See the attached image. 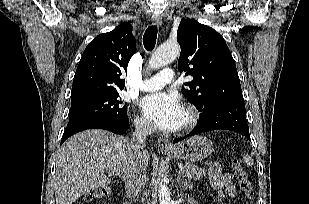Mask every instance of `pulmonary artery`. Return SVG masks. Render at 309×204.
<instances>
[{
    "label": "pulmonary artery",
    "mask_w": 309,
    "mask_h": 204,
    "mask_svg": "<svg viewBox=\"0 0 309 204\" xmlns=\"http://www.w3.org/2000/svg\"><path fill=\"white\" fill-rule=\"evenodd\" d=\"M174 79V72L172 69L163 70L159 75L145 79L140 84L142 91H154L161 89L166 84L171 83Z\"/></svg>",
    "instance_id": "e3ab8cb5"
}]
</instances>
